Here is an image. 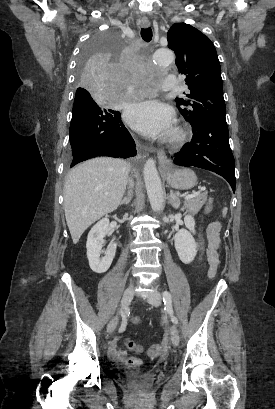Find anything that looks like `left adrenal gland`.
Segmentation results:
<instances>
[{
  "instance_id": "left-adrenal-gland-1",
  "label": "left adrenal gland",
  "mask_w": 275,
  "mask_h": 409,
  "mask_svg": "<svg viewBox=\"0 0 275 409\" xmlns=\"http://www.w3.org/2000/svg\"><path fill=\"white\" fill-rule=\"evenodd\" d=\"M168 205H172L174 209H179L180 207V198L173 192L172 188L170 190V194L168 196Z\"/></svg>"
}]
</instances>
